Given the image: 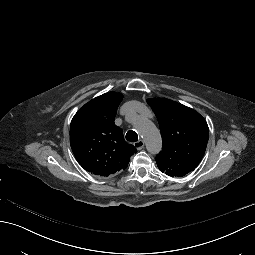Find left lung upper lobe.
Wrapping results in <instances>:
<instances>
[{
    "mask_svg": "<svg viewBox=\"0 0 255 255\" xmlns=\"http://www.w3.org/2000/svg\"><path fill=\"white\" fill-rule=\"evenodd\" d=\"M161 131L163 147L157 166L169 176H184L200 163L208 142L209 128L195 110L162 98L148 99Z\"/></svg>",
    "mask_w": 255,
    "mask_h": 255,
    "instance_id": "1",
    "label": "left lung upper lobe"
}]
</instances>
